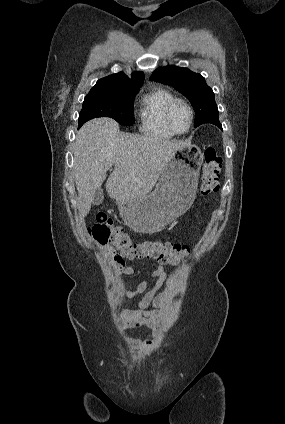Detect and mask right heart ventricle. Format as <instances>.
<instances>
[{
    "label": "right heart ventricle",
    "instance_id": "obj_1",
    "mask_svg": "<svg viewBox=\"0 0 285 424\" xmlns=\"http://www.w3.org/2000/svg\"><path fill=\"white\" fill-rule=\"evenodd\" d=\"M176 96L164 88H155L145 94L140 101L139 117L142 132L163 139H170L174 134L167 126L165 113Z\"/></svg>",
    "mask_w": 285,
    "mask_h": 424
}]
</instances>
